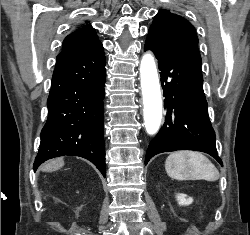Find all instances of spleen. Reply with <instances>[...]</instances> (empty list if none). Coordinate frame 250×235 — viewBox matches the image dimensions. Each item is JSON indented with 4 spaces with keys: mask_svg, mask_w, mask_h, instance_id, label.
Wrapping results in <instances>:
<instances>
[{
    "mask_svg": "<svg viewBox=\"0 0 250 235\" xmlns=\"http://www.w3.org/2000/svg\"><path fill=\"white\" fill-rule=\"evenodd\" d=\"M167 174L176 180L219 179V171L203 154L193 151H179L168 156L165 162Z\"/></svg>",
    "mask_w": 250,
    "mask_h": 235,
    "instance_id": "spleen-1",
    "label": "spleen"
}]
</instances>
